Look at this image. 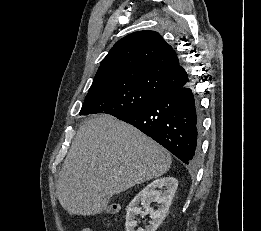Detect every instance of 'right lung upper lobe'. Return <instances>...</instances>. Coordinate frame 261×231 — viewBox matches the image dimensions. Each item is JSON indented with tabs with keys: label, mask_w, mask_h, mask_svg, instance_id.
Here are the masks:
<instances>
[{
	"label": "right lung upper lobe",
	"mask_w": 261,
	"mask_h": 231,
	"mask_svg": "<svg viewBox=\"0 0 261 231\" xmlns=\"http://www.w3.org/2000/svg\"><path fill=\"white\" fill-rule=\"evenodd\" d=\"M190 81L175 51L159 33L139 31L113 46L88 93L136 86L160 97Z\"/></svg>",
	"instance_id": "cb5924a9"
}]
</instances>
